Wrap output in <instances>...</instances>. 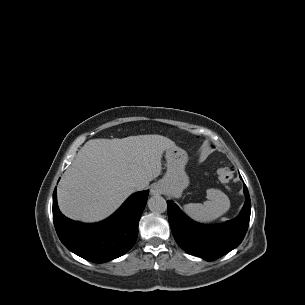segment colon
Here are the masks:
<instances>
[{
	"mask_svg": "<svg viewBox=\"0 0 305 305\" xmlns=\"http://www.w3.org/2000/svg\"><path fill=\"white\" fill-rule=\"evenodd\" d=\"M233 172L230 168H223L218 171V180L225 187L229 188L232 182Z\"/></svg>",
	"mask_w": 305,
	"mask_h": 305,
	"instance_id": "obj_1",
	"label": "colon"
}]
</instances>
